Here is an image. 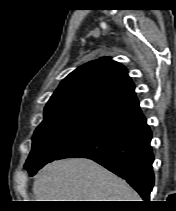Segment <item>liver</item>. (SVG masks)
Returning <instances> with one entry per match:
<instances>
[{
  "mask_svg": "<svg viewBox=\"0 0 176 211\" xmlns=\"http://www.w3.org/2000/svg\"><path fill=\"white\" fill-rule=\"evenodd\" d=\"M32 191L36 201H140L123 179L89 159L47 164Z\"/></svg>",
  "mask_w": 176,
  "mask_h": 211,
  "instance_id": "1",
  "label": "liver"
}]
</instances>
